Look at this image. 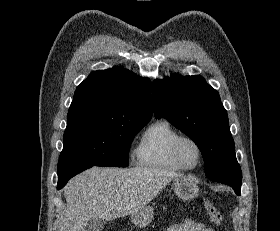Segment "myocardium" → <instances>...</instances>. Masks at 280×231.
<instances>
[{"instance_id": "f54148a6", "label": "myocardium", "mask_w": 280, "mask_h": 231, "mask_svg": "<svg viewBox=\"0 0 280 231\" xmlns=\"http://www.w3.org/2000/svg\"><path fill=\"white\" fill-rule=\"evenodd\" d=\"M184 140L192 141L199 150L200 160H199L198 165L194 169L186 168L182 164V162L179 158V154H178L179 146ZM170 153H171V158L173 159V161L179 166V168L181 170L186 171V172H195V171L199 170L205 161V152H204V148H203L202 144L196 138H194L190 135H184V134L179 135L173 142Z\"/></svg>"}]
</instances>
